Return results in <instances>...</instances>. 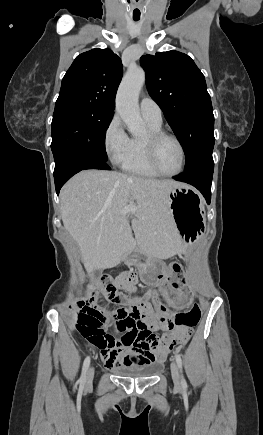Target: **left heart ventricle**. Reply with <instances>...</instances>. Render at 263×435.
I'll use <instances>...</instances> for the list:
<instances>
[{
    "label": "left heart ventricle",
    "mask_w": 263,
    "mask_h": 435,
    "mask_svg": "<svg viewBox=\"0 0 263 435\" xmlns=\"http://www.w3.org/2000/svg\"><path fill=\"white\" fill-rule=\"evenodd\" d=\"M156 159L159 167L168 173L177 171L182 163L179 146L171 139H163L157 146Z\"/></svg>",
    "instance_id": "left-heart-ventricle-1"
}]
</instances>
